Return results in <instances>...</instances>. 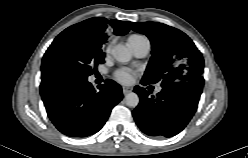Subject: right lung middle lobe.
I'll return each instance as SVG.
<instances>
[{
  "mask_svg": "<svg viewBox=\"0 0 248 158\" xmlns=\"http://www.w3.org/2000/svg\"><path fill=\"white\" fill-rule=\"evenodd\" d=\"M105 53L101 48L85 43L70 32L60 33L44 54L41 66L42 77L50 80H87L104 63Z\"/></svg>",
  "mask_w": 248,
  "mask_h": 158,
  "instance_id": "right-lung-middle-lobe-1",
  "label": "right lung middle lobe"
}]
</instances>
